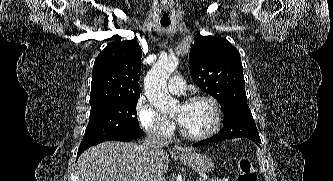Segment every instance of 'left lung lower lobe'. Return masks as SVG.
Listing matches in <instances>:
<instances>
[{
  "mask_svg": "<svg viewBox=\"0 0 333 181\" xmlns=\"http://www.w3.org/2000/svg\"><path fill=\"white\" fill-rule=\"evenodd\" d=\"M230 123H231V120L230 121H225L224 125H223V128L219 131L218 134H216L215 136H213L209 139L194 143L193 146L194 147H199V146L206 145V144L213 143V142H220V141H223V140H226V139L237 138V137H235V136L226 132V130H228V126L230 125ZM254 142L261 148V146H260L261 142H259V141H254Z\"/></svg>",
  "mask_w": 333,
  "mask_h": 181,
  "instance_id": "1",
  "label": "left lung lower lobe"
}]
</instances>
